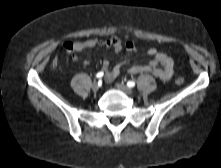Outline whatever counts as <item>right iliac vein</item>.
Wrapping results in <instances>:
<instances>
[{"label": "right iliac vein", "instance_id": "63e3f726", "mask_svg": "<svg viewBox=\"0 0 221 168\" xmlns=\"http://www.w3.org/2000/svg\"><path fill=\"white\" fill-rule=\"evenodd\" d=\"M92 90L94 92H97L99 90V84L97 82H93L92 84Z\"/></svg>", "mask_w": 221, "mask_h": 168}]
</instances>
